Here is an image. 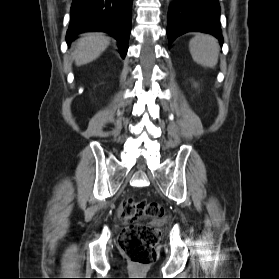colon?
I'll return each instance as SVG.
<instances>
[{"mask_svg":"<svg viewBox=\"0 0 279 279\" xmlns=\"http://www.w3.org/2000/svg\"><path fill=\"white\" fill-rule=\"evenodd\" d=\"M164 207L157 202L125 200L120 215L125 222L118 245L124 256L138 265H148L157 258L160 231L155 223L164 217Z\"/></svg>","mask_w":279,"mask_h":279,"instance_id":"1","label":"colon"}]
</instances>
